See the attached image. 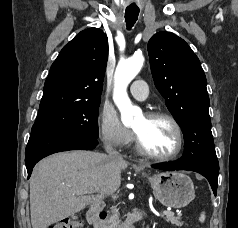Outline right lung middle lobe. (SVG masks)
<instances>
[{"instance_id":"obj_1","label":"right lung middle lobe","mask_w":238,"mask_h":228,"mask_svg":"<svg viewBox=\"0 0 238 228\" xmlns=\"http://www.w3.org/2000/svg\"><path fill=\"white\" fill-rule=\"evenodd\" d=\"M100 102L69 105L52 113L37 116L33 132H70L98 138V109Z\"/></svg>"}]
</instances>
